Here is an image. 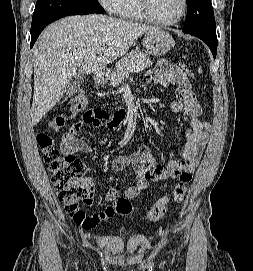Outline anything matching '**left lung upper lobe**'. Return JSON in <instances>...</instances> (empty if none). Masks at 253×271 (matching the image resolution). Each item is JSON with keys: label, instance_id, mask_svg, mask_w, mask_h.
<instances>
[{"label": "left lung upper lobe", "instance_id": "left-lung-upper-lobe-1", "mask_svg": "<svg viewBox=\"0 0 253 271\" xmlns=\"http://www.w3.org/2000/svg\"><path fill=\"white\" fill-rule=\"evenodd\" d=\"M188 14L183 30H216L211 0H187Z\"/></svg>", "mask_w": 253, "mask_h": 271}]
</instances>
